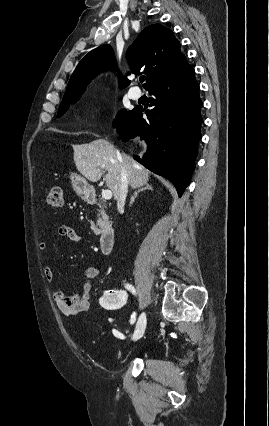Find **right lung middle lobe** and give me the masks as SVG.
<instances>
[{"mask_svg":"<svg viewBox=\"0 0 269 426\" xmlns=\"http://www.w3.org/2000/svg\"><path fill=\"white\" fill-rule=\"evenodd\" d=\"M80 97L81 96L63 99L57 117H61L67 111L69 105L76 103ZM127 114L128 112L126 110H121L118 113L117 118L115 119L114 125L118 127L123 121V119L127 116Z\"/></svg>","mask_w":269,"mask_h":426,"instance_id":"1","label":"right lung middle lobe"}]
</instances>
